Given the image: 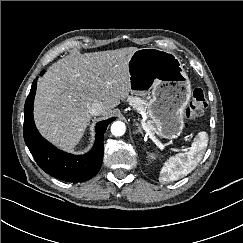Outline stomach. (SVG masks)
<instances>
[{"label":"stomach","mask_w":243,"mask_h":243,"mask_svg":"<svg viewBox=\"0 0 243 243\" xmlns=\"http://www.w3.org/2000/svg\"><path fill=\"white\" fill-rule=\"evenodd\" d=\"M131 92L151 94L147 114L157 134L174 139L183 130V110L191 97V85L180 59L158 48H141L128 62Z\"/></svg>","instance_id":"obj_1"}]
</instances>
